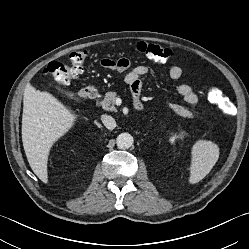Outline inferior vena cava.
Segmentation results:
<instances>
[{"instance_id":"602c4592","label":"inferior vena cava","mask_w":249,"mask_h":249,"mask_svg":"<svg viewBox=\"0 0 249 249\" xmlns=\"http://www.w3.org/2000/svg\"><path fill=\"white\" fill-rule=\"evenodd\" d=\"M101 121L104 124V126L109 130H113L116 127V121L114 120L113 117L109 115H106V114L102 115Z\"/></svg>"}]
</instances>
